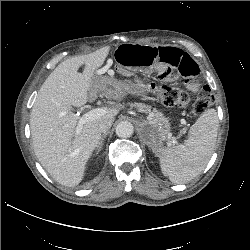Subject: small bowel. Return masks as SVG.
Listing matches in <instances>:
<instances>
[{
  "label": "small bowel",
  "mask_w": 250,
  "mask_h": 250,
  "mask_svg": "<svg viewBox=\"0 0 250 250\" xmlns=\"http://www.w3.org/2000/svg\"><path fill=\"white\" fill-rule=\"evenodd\" d=\"M113 66L120 73L155 76L163 82L181 76L190 91L197 92L200 88L197 63L178 48L124 44L115 50Z\"/></svg>",
  "instance_id": "obj_1"
}]
</instances>
